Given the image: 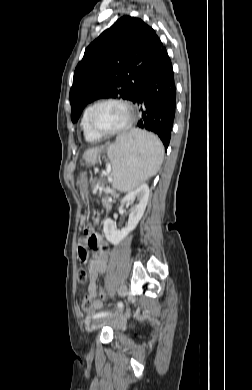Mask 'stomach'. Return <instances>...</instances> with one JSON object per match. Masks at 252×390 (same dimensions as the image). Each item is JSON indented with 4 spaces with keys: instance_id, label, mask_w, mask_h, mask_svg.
Here are the masks:
<instances>
[{
    "instance_id": "obj_1",
    "label": "stomach",
    "mask_w": 252,
    "mask_h": 390,
    "mask_svg": "<svg viewBox=\"0 0 252 390\" xmlns=\"http://www.w3.org/2000/svg\"><path fill=\"white\" fill-rule=\"evenodd\" d=\"M98 153H99V151H88L85 155L86 163L95 164L97 162ZM81 187H82L84 195L86 196L87 195V190H86L87 189V182L85 179H82Z\"/></svg>"
}]
</instances>
